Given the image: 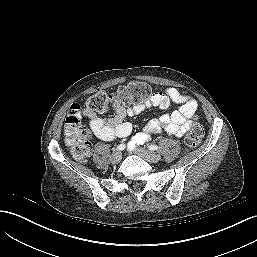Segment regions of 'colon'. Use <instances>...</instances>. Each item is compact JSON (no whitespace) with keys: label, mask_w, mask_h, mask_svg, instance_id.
<instances>
[{"label":"colon","mask_w":257,"mask_h":257,"mask_svg":"<svg viewBox=\"0 0 257 257\" xmlns=\"http://www.w3.org/2000/svg\"><path fill=\"white\" fill-rule=\"evenodd\" d=\"M151 90L148 84L133 82L120 87L116 92L99 91L90 96L86 101V108L97 113L108 112L113 105L128 106L141 103L149 98ZM66 143L70 153L77 160H85L89 154L90 133L83 125L81 107L75 103L71 105L64 123ZM203 126L195 119L184 139L186 150L197 147L202 140Z\"/></svg>","instance_id":"obj_1"}]
</instances>
